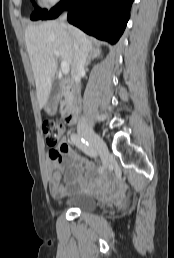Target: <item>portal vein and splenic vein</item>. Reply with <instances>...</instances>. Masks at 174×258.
<instances>
[{
  "instance_id": "portal-vein-and-splenic-vein-1",
  "label": "portal vein and splenic vein",
  "mask_w": 174,
  "mask_h": 258,
  "mask_svg": "<svg viewBox=\"0 0 174 258\" xmlns=\"http://www.w3.org/2000/svg\"><path fill=\"white\" fill-rule=\"evenodd\" d=\"M54 54L56 55V57L60 56L58 51H54ZM61 71H62L63 74H68V72H69V65H68L67 62H65V61L61 62Z\"/></svg>"
}]
</instances>
